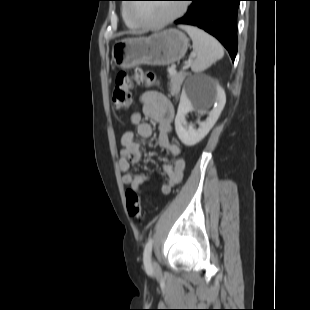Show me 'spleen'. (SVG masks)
Returning <instances> with one entry per match:
<instances>
[{
  "label": "spleen",
  "instance_id": "spleen-1",
  "mask_svg": "<svg viewBox=\"0 0 310 310\" xmlns=\"http://www.w3.org/2000/svg\"><path fill=\"white\" fill-rule=\"evenodd\" d=\"M191 37L196 58L190 63L194 72H202L224 55L222 45L205 31L189 25L180 26Z\"/></svg>",
  "mask_w": 310,
  "mask_h": 310
}]
</instances>
